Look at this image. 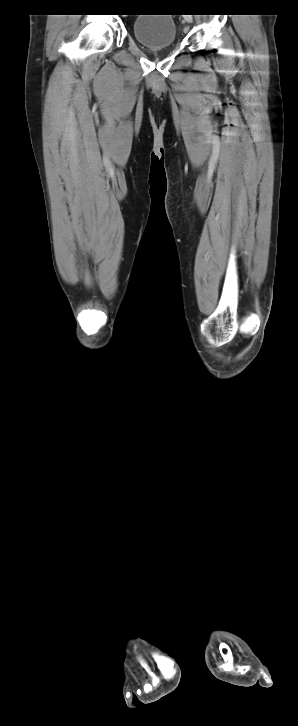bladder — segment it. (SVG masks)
Instances as JSON below:
<instances>
[{"label": "bladder", "mask_w": 298, "mask_h": 726, "mask_svg": "<svg viewBox=\"0 0 298 726\" xmlns=\"http://www.w3.org/2000/svg\"><path fill=\"white\" fill-rule=\"evenodd\" d=\"M151 15H158L156 18ZM135 39L149 49L173 46L177 39L175 21L168 14H139L132 23Z\"/></svg>", "instance_id": "obj_1"}]
</instances>
